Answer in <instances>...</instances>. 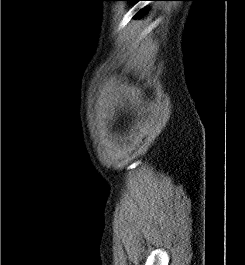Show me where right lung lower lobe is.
Returning <instances> with one entry per match:
<instances>
[{"label":"right lung lower lobe","instance_id":"98d812e1","mask_svg":"<svg viewBox=\"0 0 245 265\" xmlns=\"http://www.w3.org/2000/svg\"><path fill=\"white\" fill-rule=\"evenodd\" d=\"M125 1H140V0H125ZM140 13L143 14V10H141ZM136 16H139V13Z\"/></svg>","mask_w":245,"mask_h":265}]
</instances>
